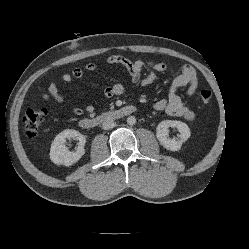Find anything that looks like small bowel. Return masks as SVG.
<instances>
[{
	"label": "small bowel",
	"instance_id": "1",
	"mask_svg": "<svg viewBox=\"0 0 249 249\" xmlns=\"http://www.w3.org/2000/svg\"><path fill=\"white\" fill-rule=\"evenodd\" d=\"M106 63L110 65H121L125 67L131 75L133 83L140 84L142 87L149 86L154 82L156 76L160 72H164L167 66L164 63L145 62L143 60H129L120 55H113L106 59ZM147 67L148 73L141 77L143 69ZM97 69V65L93 62L87 63L84 68H74L70 73H62L59 79L65 83H72L74 80L82 79L85 71L93 72ZM187 87L186 96L191 97L195 95L198 89V77L195 69L190 65H184L180 69L169 88L168 97L166 99H158L154 102L153 107L157 111H164L171 116L183 117L187 121H192L195 118L194 111L188 107L181 97L177 94L179 88ZM124 92V85L115 83L108 86L104 90V97L111 98L113 96L121 95ZM52 98L58 104H67L66 98L60 93L56 80H53L48 87V94L44 98L48 100ZM91 112L93 106L88 105L84 109L80 107H72V111L76 115H81L84 111Z\"/></svg>",
	"mask_w": 249,
	"mask_h": 249
}]
</instances>
